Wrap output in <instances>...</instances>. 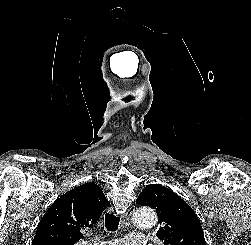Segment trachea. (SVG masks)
<instances>
[{
	"label": "trachea",
	"mask_w": 251,
	"mask_h": 245,
	"mask_svg": "<svg viewBox=\"0 0 251 245\" xmlns=\"http://www.w3.org/2000/svg\"><path fill=\"white\" fill-rule=\"evenodd\" d=\"M120 222V217L112 214L106 213L105 214V226L108 231L114 232L118 229Z\"/></svg>",
	"instance_id": "3493384b"
}]
</instances>
